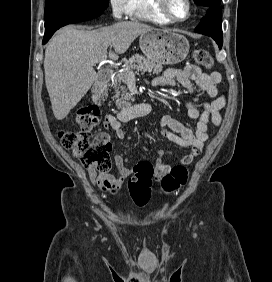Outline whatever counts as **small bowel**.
Returning a JSON list of instances; mask_svg holds the SVG:
<instances>
[{
    "mask_svg": "<svg viewBox=\"0 0 272 282\" xmlns=\"http://www.w3.org/2000/svg\"><path fill=\"white\" fill-rule=\"evenodd\" d=\"M221 80L218 72L204 73L196 65H187L183 69L169 68L153 81L154 87H169L176 82L180 83L190 94L196 90V86L206 93L207 99L199 106L186 102L188 116L196 121L195 131L186 127L175 118L164 115L160 118L162 135L170 142L189 148L190 151L180 159L182 165H188L201 153L205 141L208 139L210 123L219 125L222 121L220 111L224 108L225 96L219 94L217 84ZM105 128L114 130L117 138L124 139L125 132L120 121L113 114H108L103 122ZM116 171L114 173H101L95 169H87L91 182L101 191L111 195L119 194L122 184L131 174L126 160L121 155L114 157ZM172 169V165L164 158L163 153H158L154 165V178L160 180L163 175Z\"/></svg>",
    "mask_w": 272,
    "mask_h": 282,
    "instance_id": "small-bowel-1",
    "label": "small bowel"
}]
</instances>
